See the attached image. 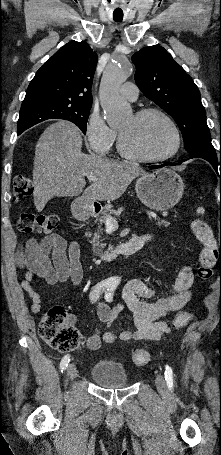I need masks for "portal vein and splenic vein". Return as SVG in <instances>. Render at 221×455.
I'll return each instance as SVG.
<instances>
[{"label":"portal vein and splenic vein","instance_id":"obj_1","mask_svg":"<svg viewBox=\"0 0 221 455\" xmlns=\"http://www.w3.org/2000/svg\"><path fill=\"white\" fill-rule=\"evenodd\" d=\"M86 176H87V179L90 181H95L97 179L96 176H94L92 174H88ZM147 215L149 218H157V216L153 213H147ZM106 226L116 229V228H118L119 225H118V222L116 221V219H114L113 217H108V218H106Z\"/></svg>","mask_w":221,"mask_h":455}]
</instances>
